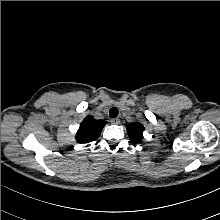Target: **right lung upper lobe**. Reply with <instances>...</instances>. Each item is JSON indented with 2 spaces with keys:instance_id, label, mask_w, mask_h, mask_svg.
I'll use <instances>...</instances> for the list:
<instances>
[{
  "instance_id": "right-lung-upper-lobe-1",
  "label": "right lung upper lobe",
  "mask_w": 220,
  "mask_h": 220,
  "mask_svg": "<svg viewBox=\"0 0 220 220\" xmlns=\"http://www.w3.org/2000/svg\"><path fill=\"white\" fill-rule=\"evenodd\" d=\"M106 122L104 120H95L92 116H87L80 124L76 135L78 143H88L96 140Z\"/></svg>"
}]
</instances>
